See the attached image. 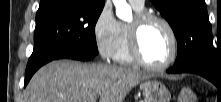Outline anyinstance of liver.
<instances>
[{
    "label": "liver",
    "mask_w": 221,
    "mask_h": 102,
    "mask_svg": "<svg viewBox=\"0 0 221 102\" xmlns=\"http://www.w3.org/2000/svg\"><path fill=\"white\" fill-rule=\"evenodd\" d=\"M140 70L104 64L53 61L40 68L25 90V102H123L130 90L148 79Z\"/></svg>",
    "instance_id": "liver-1"
}]
</instances>
